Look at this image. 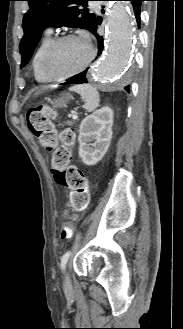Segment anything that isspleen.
I'll list each match as a JSON object with an SVG mask.
<instances>
[{
  "label": "spleen",
  "mask_w": 183,
  "mask_h": 329,
  "mask_svg": "<svg viewBox=\"0 0 183 329\" xmlns=\"http://www.w3.org/2000/svg\"><path fill=\"white\" fill-rule=\"evenodd\" d=\"M70 91L78 93L85 102V109L88 112L94 111L100 102V96L96 88L91 85H75Z\"/></svg>",
  "instance_id": "obj_1"
}]
</instances>
